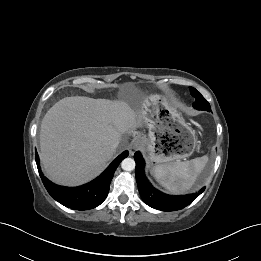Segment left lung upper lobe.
<instances>
[{
	"mask_svg": "<svg viewBox=\"0 0 261 261\" xmlns=\"http://www.w3.org/2000/svg\"><path fill=\"white\" fill-rule=\"evenodd\" d=\"M191 95L196 99L193 107L199 110L211 111L208 101L193 87H189Z\"/></svg>",
	"mask_w": 261,
	"mask_h": 261,
	"instance_id": "5c2ea615",
	"label": "left lung upper lobe"
}]
</instances>
